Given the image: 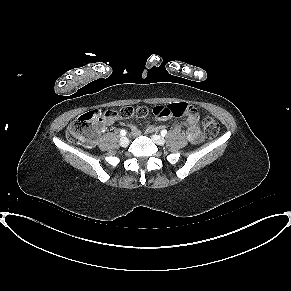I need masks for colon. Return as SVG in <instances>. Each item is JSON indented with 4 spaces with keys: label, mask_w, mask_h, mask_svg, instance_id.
<instances>
[{
    "label": "colon",
    "mask_w": 291,
    "mask_h": 291,
    "mask_svg": "<svg viewBox=\"0 0 291 291\" xmlns=\"http://www.w3.org/2000/svg\"><path fill=\"white\" fill-rule=\"evenodd\" d=\"M196 109L186 103H174L168 106H157L153 109V113L160 118L167 116H181L194 112ZM147 115V110L143 107L126 106L121 110H107L101 112L100 110H92L86 112L74 120L68 127L67 138L71 142L83 143L91 146L95 143L98 126L102 118H122L126 120L143 119ZM202 127L204 134L208 138H213L218 134L219 125L210 116H204L202 119Z\"/></svg>",
    "instance_id": "colon-1"
}]
</instances>
